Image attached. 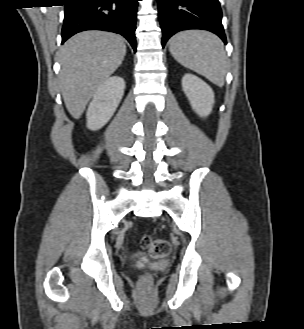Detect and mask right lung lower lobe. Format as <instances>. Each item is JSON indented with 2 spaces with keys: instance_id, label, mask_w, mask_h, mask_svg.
Listing matches in <instances>:
<instances>
[{
  "instance_id": "1",
  "label": "right lung lower lobe",
  "mask_w": 304,
  "mask_h": 329,
  "mask_svg": "<svg viewBox=\"0 0 304 329\" xmlns=\"http://www.w3.org/2000/svg\"><path fill=\"white\" fill-rule=\"evenodd\" d=\"M62 43L85 30H105L124 36L136 51L138 0H66Z\"/></svg>"
}]
</instances>
